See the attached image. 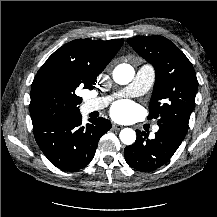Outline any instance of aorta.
Here are the masks:
<instances>
[{"label":"aorta","instance_id":"1","mask_svg":"<svg viewBox=\"0 0 217 217\" xmlns=\"http://www.w3.org/2000/svg\"><path fill=\"white\" fill-rule=\"evenodd\" d=\"M134 68L129 64H119L113 71V79L117 84L126 85L134 78ZM120 140L125 145H131L136 140V133L131 128H124L121 130Z\"/></svg>","mask_w":217,"mask_h":217}]
</instances>
